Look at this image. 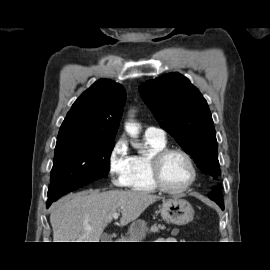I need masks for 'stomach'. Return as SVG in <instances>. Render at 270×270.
Returning a JSON list of instances; mask_svg holds the SVG:
<instances>
[{"mask_svg": "<svg viewBox=\"0 0 270 270\" xmlns=\"http://www.w3.org/2000/svg\"><path fill=\"white\" fill-rule=\"evenodd\" d=\"M162 219L168 223L175 225H185L192 221L194 216V209L191 204L185 199L179 197H172L163 200L160 207ZM146 223L143 220L134 221L129 228L130 242H139L144 236Z\"/></svg>", "mask_w": 270, "mask_h": 270, "instance_id": "0dacf381", "label": "stomach"}]
</instances>
